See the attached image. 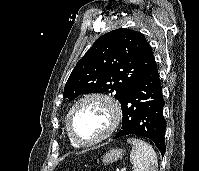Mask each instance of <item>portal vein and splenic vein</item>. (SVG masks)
Here are the masks:
<instances>
[{"label": "portal vein and splenic vein", "mask_w": 199, "mask_h": 171, "mask_svg": "<svg viewBox=\"0 0 199 171\" xmlns=\"http://www.w3.org/2000/svg\"><path fill=\"white\" fill-rule=\"evenodd\" d=\"M128 168H125V169H123V170H121V171H125V170H127Z\"/></svg>", "instance_id": "18ae733b"}]
</instances>
